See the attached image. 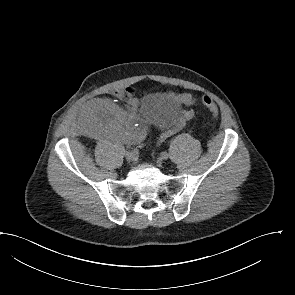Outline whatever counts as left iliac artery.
I'll use <instances>...</instances> for the list:
<instances>
[{"instance_id":"obj_1","label":"left iliac artery","mask_w":295,"mask_h":295,"mask_svg":"<svg viewBox=\"0 0 295 295\" xmlns=\"http://www.w3.org/2000/svg\"><path fill=\"white\" fill-rule=\"evenodd\" d=\"M166 155H167L166 152H162V153H161V156H162V157H166Z\"/></svg>"}]
</instances>
